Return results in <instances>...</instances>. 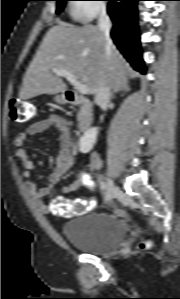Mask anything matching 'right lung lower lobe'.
Masks as SVG:
<instances>
[{"instance_id":"98d812e1","label":"right lung lower lobe","mask_w":180,"mask_h":299,"mask_svg":"<svg viewBox=\"0 0 180 299\" xmlns=\"http://www.w3.org/2000/svg\"><path fill=\"white\" fill-rule=\"evenodd\" d=\"M108 1V14L113 21L111 37L114 43L133 68L145 74L137 23L139 0Z\"/></svg>"}]
</instances>
